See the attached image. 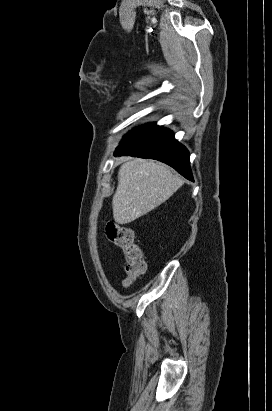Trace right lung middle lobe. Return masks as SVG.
<instances>
[{
	"mask_svg": "<svg viewBox=\"0 0 272 411\" xmlns=\"http://www.w3.org/2000/svg\"><path fill=\"white\" fill-rule=\"evenodd\" d=\"M153 125H155V123H150V124H146V125H142V126H140V127H137V128H135V129H133L131 132H129L128 134H126V135L124 136V138L129 137V136H131V135H134V134H136V133H138V132H141V131H143V130H145V129L153 126ZM124 138H123V139H124Z\"/></svg>",
	"mask_w": 272,
	"mask_h": 411,
	"instance_id": "right-lung-middle-lobe-1",
	"label": "right lung middle lobe"
}]
</instances>
